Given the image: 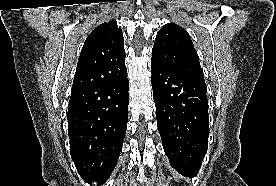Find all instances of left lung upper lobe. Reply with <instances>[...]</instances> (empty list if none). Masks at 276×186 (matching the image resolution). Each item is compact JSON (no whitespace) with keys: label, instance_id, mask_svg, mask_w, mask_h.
I'll return each instance as SVG.
<instances>
[{"label":"left lung upper lobe","instance_id":"1","mask_svg":"<svg viewBox=\"0 0 276 186\" xmlns=\"http://www.w3.org/2000/svg\"><path fill=\"white\" fill-rule=\"evenodd\" d=\"M152 64L204 81L197 52L189 34L179 25H164L155 38Z\"/></svg>","mask_w":276,"mask_h":186}]
</instances>
